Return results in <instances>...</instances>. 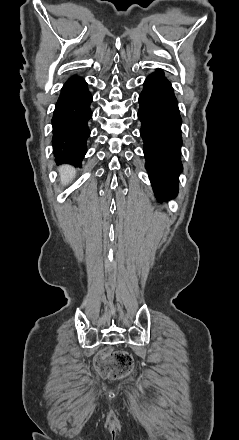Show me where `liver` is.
<instances>
[{"instance_id": "obj_1", "label": "liver", "mask_w": 239, "mask_h": 440, "mask_svg": "<svg viewBox=\"0 0 239 440\" xmlns=\"http://www.w3.org/2000/svg\"><path fill=\"white\" fill-rule=\"evenodd\" d=\"M59 172L61 184H65V186L66 184H69L71 180H73L76 174V170H74V168H71V166H60Z\"/></svg>"}]
</instances>
